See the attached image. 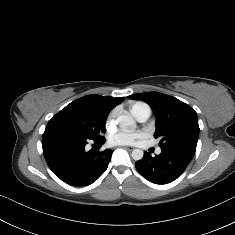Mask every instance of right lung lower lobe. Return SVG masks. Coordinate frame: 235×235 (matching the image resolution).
<instances>
[{"instance_id": "right-lung-lower-lobe-1", "label": "right lung lower lobe", "mask_w": 235, "mask_h": 235, "mask_svg": "<svg viewBox=\"0 0 235 235\" xmlns=\"http://www.w3.org/2000/svg\"><path fill=\"white\" fill-rule=\"evenodd\" d=\"M103 144L104 139H90L71 129L49 124L42 138L43 154L51 171L72 186H87L107 169L113 150L85 151L88 142Z\"/></svg>"}]
</instances>
